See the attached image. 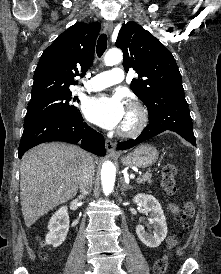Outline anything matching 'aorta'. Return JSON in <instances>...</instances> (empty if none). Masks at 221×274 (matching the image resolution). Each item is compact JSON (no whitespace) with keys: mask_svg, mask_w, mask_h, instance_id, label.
<instances>
[{"mask_svg":"<svg viewBox=\"0 0 221 274\" xmlns=\"http://www.w3.org/2000/svg\"><path fill=\"white\" fill-rule=\"evenodd\" d=\"M122 59L123 54L119 49H111L106 53L104 57V63L107 66H113L120 63ZM115 173L116 169L113 163L110 161H106L101 169V183L105 195H108L113 191L115 183Z\"/></svg>","mask_w":221,"mask_h":274,"instance_id":"1","label":"aorta"}]
</instances>
